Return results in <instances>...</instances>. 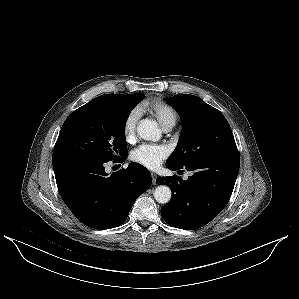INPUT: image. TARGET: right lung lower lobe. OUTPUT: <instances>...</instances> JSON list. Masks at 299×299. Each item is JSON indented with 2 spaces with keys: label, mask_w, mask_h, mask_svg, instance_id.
I'll list each match as a JSON object with an SVG mask.
<instances>
[{
  "label": "right lung lower lobe",
  "mask_w": 299,
  "mask_h": 299,
  "mask_svg": "<svg viewBox=\"0 0 299 299\" xmlns=\"http://www.w3.org/2000/svg\"><path fill=\"white\" fill-rule=\"evenodd\" d=\"M121 161V157L113 160ZM106 162L71 150L53 151L52 157L61 198L79 221L98 230L121 225L137 197L151 185V175L142 165L130 163L108 175Z\"/></svg>",
  "instance_id": "right-lung-lower-lobe-1"
}]
</instances>
